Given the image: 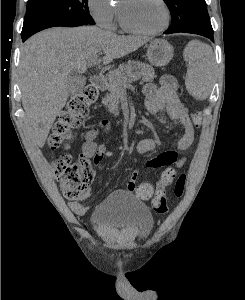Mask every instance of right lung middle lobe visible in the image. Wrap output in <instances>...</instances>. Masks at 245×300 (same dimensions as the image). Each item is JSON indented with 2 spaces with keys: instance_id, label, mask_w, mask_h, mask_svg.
<instances>
[{
  "instance_id": "1",
  "label": "right lung middle lobe",
  "mask_w": 245,
  "mask_h": 300,
  "mask_svg": "<svg viewBox=\"0 0 245 300\" xmlns=\"http://www.w3.org/2000/svg\"><path fill=\"white\" fill-rule=\"evenodd\" d=\"M94 25L87 0H28L21 37L55 26Z\"/></svg>"
}]
</instances>
